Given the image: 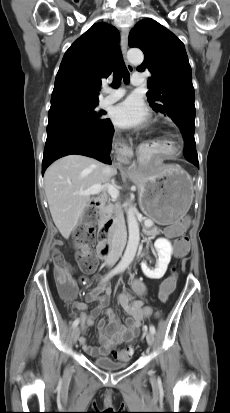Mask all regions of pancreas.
Instances as JSON below:
<instances>
[{"label": "pancreas", "mask_w": 230, "mask_h": 413, "mask_svg": "<svg viewBox=\"0 0 230 413\" xmlns=\"http://www.w3.org/2000/svg\"><path fill=\"white\" fill-rule=\"evenodd\" d=\"M119 207V204H113V200H109L107 203L103 204L100 208V216L105 218H111L114 211ZM160 232L157 226H152L151 229L145 230L147 235H156Z\"/></svg>", "instance_id": "pancreas-1"}]
</instances>
